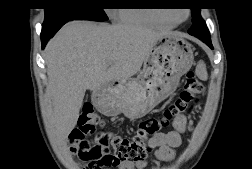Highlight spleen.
<instances>
[{
    "mask_svg": "<svg viewBox=\"0 0 252 169\" xmlns=\"http://www.w3.org/2000/svg\"><path fill=\"white\" fill-rule=\"evenodd\" d=\"M196 74L201 80H207L208 75L206 71V65L203 61H200L196 67Z\"/></svg>",
    "mask_w": 252,
    "mask_h": 169,
    "instance_id": "obj_1",
    "label": "spleen"
}]
</instances>
